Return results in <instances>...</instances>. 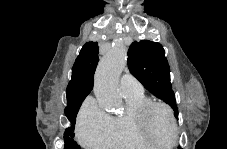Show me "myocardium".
Masks as SVG:
<instances>
[{
    "label": "myocardium",
    "mask_w": 227,
    "mask_h": 149,
    "mask_svg": "<svg viewBox=\"0 0 227 149\" xmlns=\"http://www.w3.org/2000/svg\"><path fill=\"white\" fill-rule=\"evenodd\" d=\"M162 108L166 111L169 116L171 127H172V138L168 144L156 143L150 136L148 131V117L153 109ZM134 122L139 136L150 146L164 147L174 146L178 137V128L176 118L172 108L164 102L160 101H148L142 104L134 113Z\"/></svg>",
    "instance_id": "f54148a6"
}]
</instances>
